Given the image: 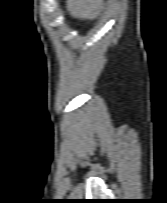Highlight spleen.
<instances>
[{
	"mask_svg": "<svg viewBox=\"0 0 167 203\" xmlns=\"http://www.w3.org/2000/svg\"><path fill=\"white\" fill-rule=\"evenodd\" d=\"M103 0H67L69 14L78 19H95L103 10Z\"/></svg>",
	"mask_w": 167,
	"mask_h": 203,
	"instance_id": "obj_1",
	"label": "spleen"
}]
</instances>
